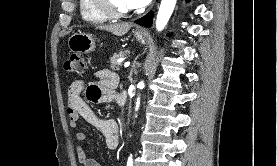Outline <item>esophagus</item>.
Segmentation results:
<instances>
[{
  "label": "esophagus",
  "instance_id": "34e87169",
  "mask_svg": "<svg viewBox=\"0 0 277 166\" xmlns=\"http://www.w3.org/2000/svg\"><path fill=\"white\" fill-rule=\"evenodd\" d=\"M140 33H144L145 31L143 29H138Z\"/></svg>",
  "mask_w": 277,
  "mask_h": 166
}]
</instances>
